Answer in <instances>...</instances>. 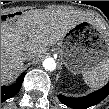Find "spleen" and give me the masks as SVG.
<instances>
[{"mask_svg": "<svg viewBox=\"0 0 109 109\" xmlns=\"http://www.w3.org/2000/svg\"><path fill=\"white\" fill-rule=\"evenodd\" d=\"M84 82L90 88H100L109 80V61L83 74Z\"/></svg>", "mask_w": 109, "mask_h": 109, "instance_id": "3e777b00", "label": "spleen"}]
</instances>
